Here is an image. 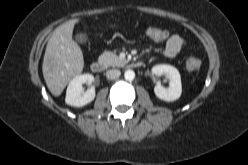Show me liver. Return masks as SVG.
Wrapping results in <instances>:
<instances>
[{
    "mask_svg": "<svg viewBox=\"0 0 248 165\" xmlns=\"http://www.w3.org/2000/svg\"><path fill=\"white\" fill-rule=\"evenodd\" d=\"M79 19L69 20L57 27L49 39L43 59V76L49 91L59 96L64 88L78 76L84 67L83 53L72 39Z\"/></svg>",
    "mask_w": 248,
    "mask_h": 165,
    "instance_id": "1",
    "label": "liver"
}]
</instances>
